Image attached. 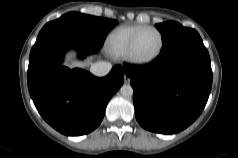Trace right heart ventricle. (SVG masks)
I'll return each instance as SVG.
<instances>
[{"label": "right heart ventricle", "instance_id": "1", "mask_svg": "<svg viewBox=\"0 0 238 158\" xmlns=\"http://www.w3.org/2000/svg\"><path fill=\"white\" fill-rule=\"evenodd\" d=\"M143 27V25H125L116 28L106 39V49L115 56L124 57L132 37Z\"/></svg>", "mask_w": 238, "mask_h": 158}]
</instances>
